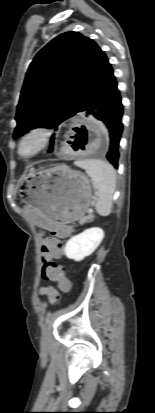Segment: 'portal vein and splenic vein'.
<instances>
[{
    "instance_id": "18ae733b",
    "label": "portal vein and splenic vein",
    "mask_w": 155,
    "mask_h": 413,
    "mask_svg": "<svg viewBox=\"0 0 155 413\" xmlns=\"http://www.w3.org/2000/svg\"><path fill=\"white\" fill-rule=\"evenodd\" d=\"M88 212H92V209H89Z\"/></svg>"
}]
</instances>
